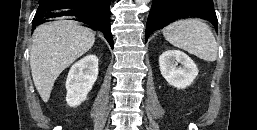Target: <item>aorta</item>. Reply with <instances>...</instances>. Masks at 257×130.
I'll return each instance as SVG.
<instances>
[{"label":"aorta","instance_id":"obj_1","mask_svg":"<svg viewBox=\"0 0 257 130\" xmlns=\"http://www.w3.org/2000/svg\"><path fill=\"white\" fill-rule=\"evenodd\" d=\"M136 2H137L138 4H142V3H145L146 1H145V0H136Z\"/></svg>","mask_w":257,"mask_h":130}]
</instances>
